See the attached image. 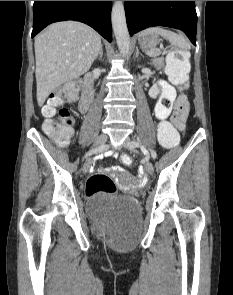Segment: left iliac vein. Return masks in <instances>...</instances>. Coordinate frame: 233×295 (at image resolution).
<instances>
[{
	"label": "left iliac vein",
	"instance_id": "left-iliac-vein-1",
	"mask_svg": "<svg viewBox=\"0 0 233 295\" xmlns=\"http://www.w3.org/2000/svg\"><path fill=\"white\" fill-rule=\"evenodd\" d=\"M131 141H132L131 139H126V141L124 142V146L128 150L135 152L138 145H132ZM145 169L148 174H153L154 172L153 164L151 163V161H149L148 158L145 159Z\"/></svg>",
	"mask_w": 233,
	"mask_h": 295
}]
</instances>
